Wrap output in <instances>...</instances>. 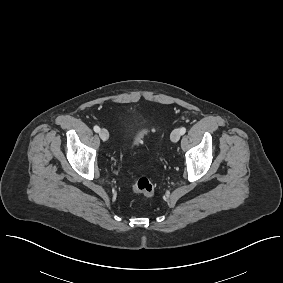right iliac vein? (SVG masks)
<instances>
[{"instance_id":"63e3f726","label":"right iliac vein","mask_w":283,"mask_h":283,"mask_svg":"<svg viewBox=\"0 0 283 283\" xmlns=\"http://www.w3.org/2000/svg\"><path fill=\"white\" fill-rule=\"evenodd\" d=\"M99 136L103 141H106L109 138V133L106 129L103 128L99 131Z\"/></svg>"}]
</instances>
